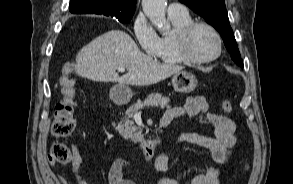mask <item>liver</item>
<instances>
[{"instance_id": "1", "label": "liver", "mask_w": 293, "mask_h": 184, "mask_svg": "<svg viewBox=\"0 0 293 184\" xmlns=\"http://www.w3.org/2000/svg\"><path fill=\"white\" fill-rule=\"evenodd\" d=\"M118 67L128 72L119 77ZM182 69V66L160 63L145 55L130 35L121 30L108 31L82 47L75 64L78 75L93 81L140 86L158 83Z\"/></svg>"}]
</instances>
